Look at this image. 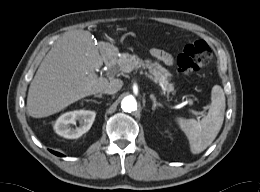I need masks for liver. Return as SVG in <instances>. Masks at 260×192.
<instances>
[{
  "mask_svg": "<svg viewBox=\"0 0 260 192\" xmlns=\"http://www.w3.org/2000/svg\"><path fill=\"white\" fill-rule=\"evenodd\" d=\"M105 58L89 31L67 32L40 64L27 97L28 114L34 118L55 114L70 104L93 95L108 85L97 71Z\"/></svg>",
  "mask_w": 260,
  "mask_h": 192,
  "instance_id": "obj_1",
  "label": "liver"
}]
</instances>
